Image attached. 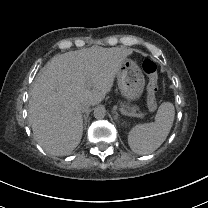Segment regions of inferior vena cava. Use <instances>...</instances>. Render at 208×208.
Wrapping results in <instances>:
<instances>
[{
  "mask_svg": "<svg viewBox=\"0 0 208 208\" xmlns=\"http://www.w3.org/2000/svg\"><path fill=\"white\" fill-rule=\"evenodd\" d=\"M89 106H90L89 102L87 100H83L79 103L78 110L80 112H85L88 110Z\"/></svg>",
  "mask_w": 208,
  "mask_h": 208,
  "instance_id": "1",
  "label": "inferior vena cava"
}]
</instances>
